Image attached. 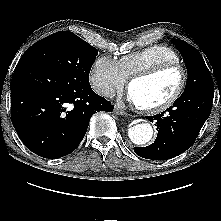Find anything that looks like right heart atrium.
<instances>
[{
	"label": "right heart atrium",
	"mask_w": 221,
	"mask_h": 221,
	"mask_svg": "<svg viewBox=\"0 0 221 221\" xmlns=\"http://www.w3.org/2000/svg\"><path fill=\"white\" fill-rule=\"evenodd\" d=\"M127 78L122 73L118 61L108 55H99L89 71V82L93 90L102 95H110L123 88Z\"/></svg>",
	"instance_id": "1"
}]
</instances>
